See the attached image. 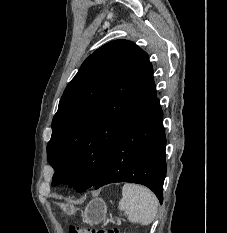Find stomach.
<instances>
[{"instance_id": "stomach-1", "label": "stomach", "mask_w": 227, "mask_h": 233, "mask_svg": "<svg viewBox=\"0 0 227 233\" xmlns=\"http://www.w3.org/2000/svg\"><path fill=\"white\" fill-rule=\"evenodd\" d=\"M58 205L67 215H72L77 211L76 208L68 203H59ZM106 213L107 207L105 202L102 199H95L92 200L85 208L83 219L87 224L91 226L96 225L101 223L105 219Z\"/></svg>"}]
</instances>
